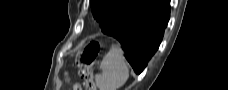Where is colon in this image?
<instances>
[{"instance_id":"5ec220e1","label":"colon","mask_w":228,"mask_h":90,"mask_svg":"<svg viewBox=\"0 0 228 90\" xmlns=\"http://www.w3.org/2000/svg\"><path fill=\"white\" fill-rule=\"evenodd\" d=\"M100 52V44L97 41L89 42L85 48L80 51L76 57L75 62L83 66L81 71V77L83 79V85L79 83H72L68 74L66 73V82L70 84L71 90H96V84L93 79L92 66L95 64L96 59Z\"/></svg>"}]
</instances>
